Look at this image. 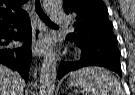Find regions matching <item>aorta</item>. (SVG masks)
Segmentation results:
<instances>
[{
	"mask_svg": "<svg viewBox=\"0 0 135 95\" xmlns=\"http://www.w3.org/2000/svg\"><path fill=\"white\" fill-rule=\"evenodd\" d=\"M44 8L51 13L62 6V0H44ZM57 76L55 53L50 49L44 56L40 74V95H54Z\"/></svg>",
	"mask_w": 135,
	"mask_h": 95,
	"instance_id": "1",
	"label": "aorta"
}]
</instances>
